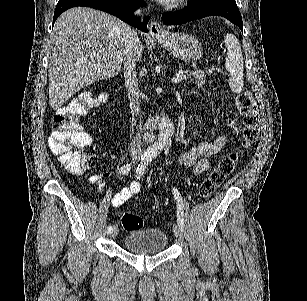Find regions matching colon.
I'll list each match as a JSON object with an SVG mask.
<instances>
[{
    "label": "colon",
    "instance_id": "colon-1",
    "mask_svg": "<svg viewBox=\"0 0 307 301\" xmlns=\"http://www.w3.org/2000/svg\"><path fill=\"white\" fill-rule=\"evenodd\" d=\"M98 100L89 93L75 97L58 108L54 117V128L49 138L52 152L59 156L61 163L72 173H81L97 164V157L84 149L92 144V138L81 123ZM236 108L242 119V132L239 147L221 158L216 167L201 182L198 194L202 198L210 197L232 174L240 154L259 137L260 120L253 95L244 91L236 98ZM126 231H136L143 226V220L136 214L124 212L120 216Z\"/></svg>",
    "mask_w": 307,
    "mask_h": 301
}]
</instances>
